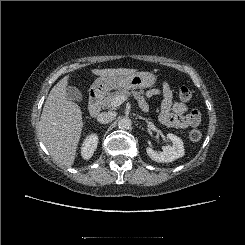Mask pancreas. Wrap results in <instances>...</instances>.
Segmentation results:
<instances>
[{
    "label": "pancreas",
    "mask_w": 245,
    "mask_h": 245,
    "mask_svg": "<svg viewBox=\"0 0 245 245\" xmlns=\"http://www.w3.org/2000/svg\"><path fill=\"white\" fill-rule=\"evenodd\" d=\"M132 95L138 102H142L145 100L144 98V92L143 91H128V90H119V91H116L114 93H108L104 99L101 101V105L104 107V108H113V106L111 105V102L112 100L117 97V96H125V97H128Z\"/></svg>",
    "instance_id": "cf45deb5"
}]
</instances>
